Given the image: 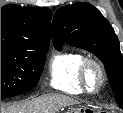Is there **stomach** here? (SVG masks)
I'll use <instances>...</instances> for the list:
<instances>
[{"label":"stomach","mask_w":123,"mask_h":113,"mask_svg":"<svg viewBox=\"0 0 123 113\" xmlns=\"http://www.w3.org/2000/svg\"><path fill=\"white\" fill-rule=\"evenodd\" d=\"M86 108L85 107H71L67 110L66 113H85L86 112Z\"/></svg>","instance_id":"0dacf381"}]
</instances>
